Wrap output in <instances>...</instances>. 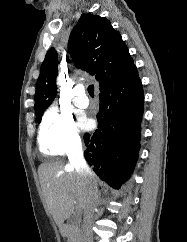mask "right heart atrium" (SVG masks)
<instances>
[{"instance_id":"1","label":"right heart atrium","mask_w":187,"mask_h":242,"mask_svg":"<svg viewBox=\"0 0 187 242\" xmlns=\"http://www.w3.org/2000/svg\"><path fill=\"white\" fill-rule=\"evenodd\" d=\"M39 145L49 155H64L76 151L81 140L72 115L57 107H50L40 124Z\"/></svg>"}]
</instances>
